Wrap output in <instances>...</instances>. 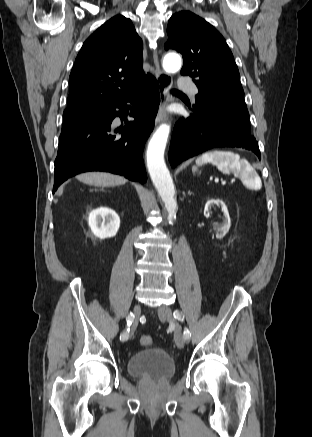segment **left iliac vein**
<instances>
[{"instance_id":"4c4485c4","label":"left iliac vein","mask_w":312,"mask_h":437,"mask_svg":"<svg viewBox=\"0 0 312 437\" xmlns=\"http://www.w3.org/2000/svg\"><path fill=\"white\" fill-rule=\"evenodd\" d=\"M158 316L160 319L167 320L169 322H172L175 324V331H174V339L175 343L178 348L182 349L184 347L185 339L181 334V331L177 324L175 323V320L173 318L172 310L168 306H161L158 308Z\"/></svg>"}]
</instances>
